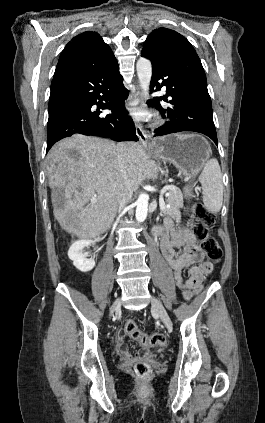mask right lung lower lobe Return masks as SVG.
Here are the masks:
<instances>
[{"label":"right lung lower lobe","mask_w":265,"mask_h":423,"mask_svg":"<svg viewBox=\"0 0 265 423\" xmlns=\"http://www.w3.org/2000/svg\"><path fill=\"white\" fill-rule=\"evenodd\" d=\"M122 80L118 64L53 78L46 152L57 141L76 133L115 141H138L134 123L124 107L128 90ZM100 109H110L113 113L100 116Z\"/></svg>","instance_id":"obj_1"}]
</instances>
